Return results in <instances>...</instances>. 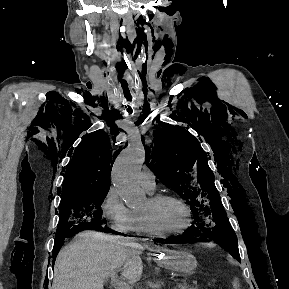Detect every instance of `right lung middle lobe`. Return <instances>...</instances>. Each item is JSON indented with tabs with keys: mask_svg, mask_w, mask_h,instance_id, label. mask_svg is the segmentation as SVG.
<instances>
[{
	"mask_svg": "<svg viewBox=\"0 0 289 289\" xmlns=\"http://www.w3.org/2000/svg\"><path fill=\"white\" fill-rule=\"evenodd\" d=\"M108 191L62 197L56 237L87 229H101L106 220L102 218L100 207Z\"/></svg>",
	"mask_w": 289,
	"mask_h": 289,
	"instance_id": "obj_1",
	"label": "right lung middle lobe"
}]
</instances>
